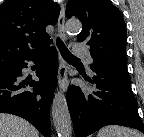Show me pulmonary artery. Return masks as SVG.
Masks as SVG:
<instances>
[{
  "mask_svg": "<svg viewBox=\"0 0 144 137\" xmlns=\"http://www.w3.org/2000/svg\"><path fill=\"white\" fill-rule=\"evenodd\" d=\"M74 53L78 56L84 57L88 63L93 62V58L89 51L81 43L75 44Z\"/></svg>",
  "mask_w": 144,
  "mask_h": 137,
  "instance_id": "pulmonary-artery-1",
  "label": "pulmonary artery"
}]
</instances>
